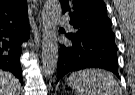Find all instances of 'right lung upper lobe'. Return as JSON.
<instances>
[{
  "label": "right lung upper lobe",
  "instance_id": "right-lung-upper-lobe-1",
  "mask_svg": "<svg viewBox=\"0 0 135 95\" xmlns=\"http://www.w3.org/2000/svg\"><path fill=\"white\" fill-rule=\"evenodd\" d=\"M27 17L26 0H0V21H17Z\"/></svg>",
  "mask_w": 135,
  "mask_h": 95
}]
</instances>
